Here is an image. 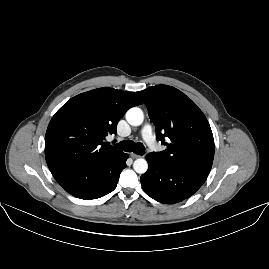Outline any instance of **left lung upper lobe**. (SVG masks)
Wrapping results in <instances>:
<instances>
[{
  "mask_svg": "<svg viewBox=\"0 0 269 269\" xmlns=\"http://www.w3.org/2000/svg\"><path fill=\"white\" fill-rule=\"evenodd\" d=\"M137 94L147 106L157 139L167 146L164 151L148 156L165 165L208 176L214 140L203 112L172 86L157 85Z\"/></svg>",
  "mask_w": 269,
  "mask_h": 269,
  "instance_id": "1",
  "label": "left lung upper lobe"
}]
</instances>
